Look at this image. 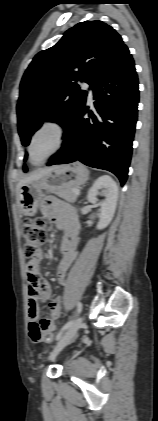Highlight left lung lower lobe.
<instances>
[{
  "label": "left lung lower lobe",
  "mask_w": 158,
  "mask_h": 421,
  "mask_svg": "<svg viewBox=\"0 0 158 421\" xmlns=\"http://www.w3.org/2000/svg\"><path fill=\"white\" fill-rule=\"evenodd\" d=\"M96 113L84 106L66 128L64 142L48 166L76 160L114 173L124 185L132 154L139 101L134 61L123 45L91 84Z\"/></svg>",
  "instance_id": "1"
}]
</instances>
